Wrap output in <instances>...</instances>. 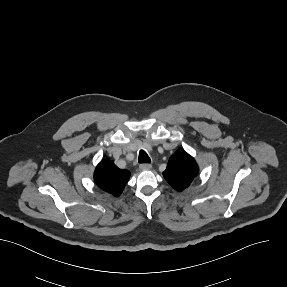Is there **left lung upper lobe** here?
<instances>
[{"label":"left lung upper lobe","instance_id":"5c2ea615","mask_svg":"<svg viewBox=\"0 0 287 287\" xmlns=\"http://www.w3.org/2000/svg\"><path fill=\"white\" fill-rule=\"evenodd\" d=\"M197 173L195 159L184 150H178L170 157L163 176L174 189L182 191L191 184Z\"/></svg>","mask_w":287,"mask_h":287}]
</instances>
